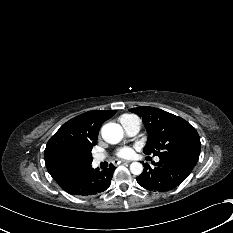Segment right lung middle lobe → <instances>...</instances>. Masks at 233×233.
<instances>
[{
	"mask_svg": "<svg viewBox=\"0 0 233 233\" xmlns=\"http://www.w3.org/2000/svg\"><path fill=\"white\" fill-rule=\"evenodd\" d=\"M92 160H93V159H92V156H91V157H90V160H89V164H91V163H92Z\"/></svg>",
	"mask_w": 233,
	"mask_h": 233,
	"instance_id": "obj_1",
	"label": "right lung middle lobe"
}]
</instances>
